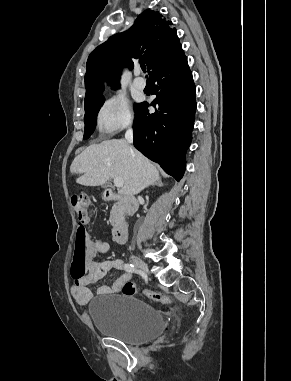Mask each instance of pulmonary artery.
Returning <instances> with one entry per match:
<instances>
[{"label":"pulmonary artery","instance_id":"pulmonary-artery-1","mask_svg":"<svg viewBox=\"0 0 291 381\" xmlns=\"http://www.w3.org/2000/svg\"><path fill=\"white\" fill-rule=\"evenodd\" d=\"M133 85L138 90H143L146 86V83L142 77H140V72L135 73V78L133 80Z\"/></svg>","mask_w":291,"mask_h":381}]
</instances>
